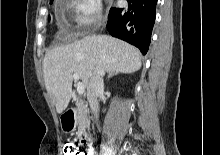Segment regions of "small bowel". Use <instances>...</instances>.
<instances>
[{
	"instance_id": "c3829d8e",
	"label": "small bowel",
	"mask_w": 220,
	"mask_h": 155,
	"mask_svg": "<svg viewBox=\"0 0 220 155\" xmlns=\"http://www.w3.org/2000/svg\"><path fill=\"white\" fill-rule=\"evenodd\" d=\"M78 144H79V145H84V144H85V141H84V140H79V141H78Z\"/></svg>"
}]
</instances>
